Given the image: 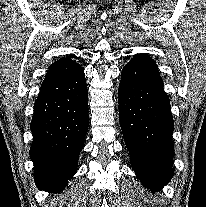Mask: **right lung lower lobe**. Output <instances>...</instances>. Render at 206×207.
<instances>
[{
	"label": "right lung lower lobe",
	"mask_w": 206,
	"mask_h": 207,
	"mask_svg": "<svg viewBox=\"0 0 206 207\" xmlns=\"http://www.w3.org/2000/svg\"><path fill=\"white\" fill-rule=\"evenodd\" d=\"M30 158L39 189L59 193L77 170L88 129V92L83 68L62 58L46 73L34 104Z\"/></svg>",
	"instance_id": "1"
}]
</instances>
